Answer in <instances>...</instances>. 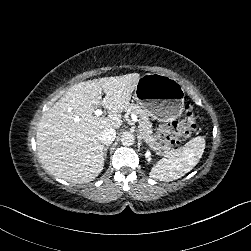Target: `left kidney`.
I'll use <instances>...</instances> for the list:
<instances>
[{"mask_svg": "<svg viewBox=\"0 0 251 251\" xmlns=\"http://www.w3.org/2000/svg\"><path fill=\"white\" fill-rule=\"evenodd\" d=\"M151 151L150 150H147L145 152V158L147 159L148 162H151L152 158H151Z\"/></svg>", "mask_w": 251, "mask_h": 251, "instance_id": "left-kidney-1", "label": "left kidney"}]
</instances>
